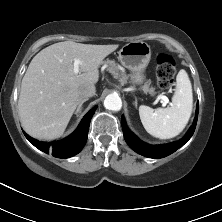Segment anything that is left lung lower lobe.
<instances>
[{"label": "left lung lower lobe", "mask_w": 222, "mask_h": 222, "mask_svg": "<svg viewBox=\"0 0 222 222\" xmlns=\"http://www.w3.org/2000/svg\"><path fill=\"white\" fill-rule=\"evenodd\" d=\"M198 111L199 104L197 103L196 116L187 134L179 141L164 145H149L142 142L127 128L124 117L122 116L121 124L125 141L134 151L143 156L155 159L166 157L182 147L192 137L197 124Z\"/></svg>", "instance_id": "0a47b994"}]
</instances>
